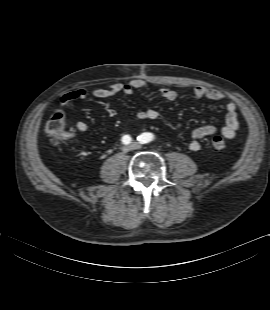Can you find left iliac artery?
Returning a JSON list of instances; mask_svg holds the SVG:
<instances>
[{
	"label": "left iliac artery",
	"instance_id": "obj_1",
	"mask_svg": "<svg viewBox=\"0 0 270 310\" xmlns=\"http://www.w3.org/2000/svg\"><path fill=\"white\" fill-rule=\"evenodd\" d=\"M153 139H154V135L151 133H143L140 136H138V138H137V140L141 144L148 143V142L152 141Z\"/></svg>",
	"mask_w": 270,
	"mask_h": 310
}]
</instances>
